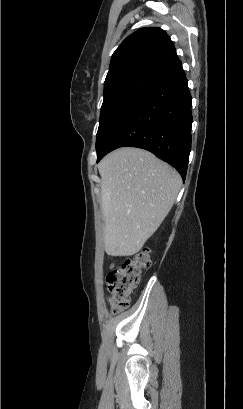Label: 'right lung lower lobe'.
<instances>
[{
	"label": "right lung lower lobe",
	"instance_id": "1",
	"mask_svg": "<svg viewBox=\"0 0 243 409\" xmlns=\"http://www.w3.org/2000/svg\"><path fill=\"white\" fill-rule=\"evenodd\" d=\"M191 125V95L180 64L162 78L117 127L97 154V162L116 148L138 147L168 162L185 180Z\"/></svg>",
	"mask_w": 243,
	"mask_h": 409
}]
</instances>
